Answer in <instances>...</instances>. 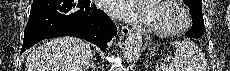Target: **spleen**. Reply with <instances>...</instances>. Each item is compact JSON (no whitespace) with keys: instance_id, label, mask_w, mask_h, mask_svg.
<instances>
[{"instance_id":"3e777b00","label":"spleen","mask_w":230,"mask_h":71,"mask_svg":"<svg viewBox=\"0 0 230 71\" xmlns=\"http://www.w3.org/2000/svg\"><path fill=\"white\" fill-rule=\"evenodd\" d=\"M175 46V56L169 65H162V71H206L207 62L199 47L188 41L171 42Z\"/></svg>"}]
</instances>
